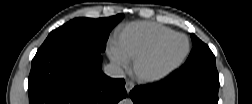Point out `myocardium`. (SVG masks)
Instances as JSON below:
<instances>
[{
  "mask_svg": "<svg viewBox=\"0 0 252 104\" xmlns=\"http://www.w3.org/2000/svg\"><path fill=\"white\" fill-rule=\"evenodd\" d=\"M178 36L184 37L186 39V49L177 59L164 63L152 70H146L143 68V64L145 61H147L152 55H154L168 40L174 37H178ZM189 50H190V43H189L188 37L184 34L173 33L169 36H166L158 40L151 47H149L143 53L138 55L134 59V71L140 79L145 80V81L160 78L164 76L165 74H167L168 72H170L171 70L177 68L179 65H181V63L184 61V59L188 55Z\"/></svg>",
  "mask_w": 252,
  "mask_h": 104,
  "instance_id": "obj_1",
  "label": "myocardium"
}]
</instances>
